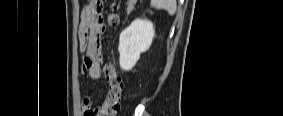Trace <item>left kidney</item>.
Here are the masks:
<instances>
[{
  "mask_svg": "<svg viewBox=\"0 0 283 116\" xmlns=\"http://www.w3.org/2000/svg\"><path fill=\"white\" fill-rule=\"evenodd\" d=\"M155 30L151 21L136 19L125 28L119 38V64L122 70H131L140 58V54L147 51L151 44Z\"/></svg>",
  "mask_w": 283,
  "mask_h": 116,
  "instance_id": "5707ae66",
  "label": "left kidney"
}]
</instances>
